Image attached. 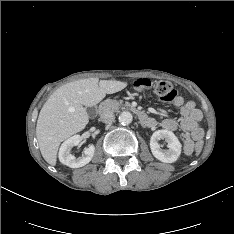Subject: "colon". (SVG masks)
Segmentation results:
<instances>
[{
  "mask_svg": "<svg viewBox=\"0 0 234 234\" xmlns=\"http://www.w3.org/2000/svg\"><path fill=\"white\" fill-rule=\"evenodd\" d=\"M151 85L152 84L149 79L141 78L134 83V90L142 93H147L151 88ZM154 93L157 97L164 101H171L176 96V92L173 89L172 85L165 81H161L156 84ZM201 147L202 146L200 143H196L194 145V150L200 151Z\"/></svg>",
  "mask_w": 234,
  "mask_h": 234,
  "instance_id": "5ec220e1",
  "label": "colon"
}]
</instances>
